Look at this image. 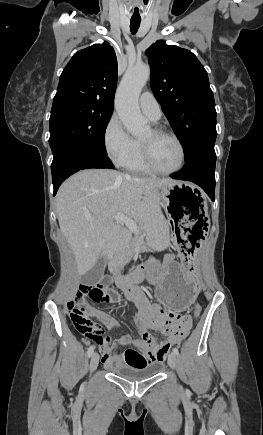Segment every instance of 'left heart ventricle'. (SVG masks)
<instances>
[{
    "label": "left heart ventricle",
    "mask_w": 263,
    "mask_h": 435,
    "mask_svg": "<svg viewBox=\"0 0 263 435\" xmlns=\"http://www.w3.org/2000/svg\"><path fill=\"white\" fill-rule=\"evenodd\" d=\"M142 141L149 145L153 161L159 169L169 171L179 166L181 151L172 138L155 136L150 130Z\"/></svg>",
    "instance_id": "obj_1"
}]
</instances>
